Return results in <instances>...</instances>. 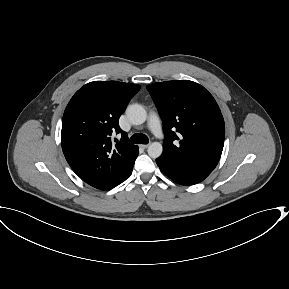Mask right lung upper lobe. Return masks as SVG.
I'll use <instances>...</instances> for the list:
<instances>
[{
	"instance_id": "cb5924a9",
	"label": "right lung upper lobe",
	"mask_w": 289,
	"mask_h": 289,
	"mask_svg": "<svg viewBox=\"0 0 289 289\" xmlns=\"http://www.w3.org/2000/svg\"><path fill=\"white\" fill-rule=\"evenodd\" d=\"M139 90V85L131 83L90 82L74 94L64 111L61 139L65 158L83 181L97 189L117 186L138 150L127 143L118 121ZM113 132L124 139L113 144Z\"/></svg>"
}]
</instances>
